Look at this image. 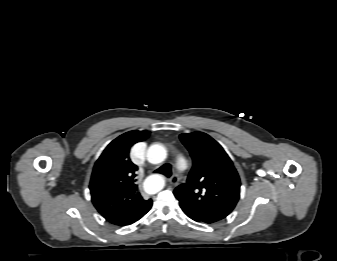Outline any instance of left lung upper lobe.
<instances>
[{
  "mask_svg": "<svg viewBox=\"0 0 337 261\" xmlns=\"http://www.w3.org/2000/svg\"><path fill=\"white\" fill-rule=\"evenodd\" d=\"M193 167L186 184L174 190L180 207L205 223L224 219L239 199L240 179L221 145L203 132L181 134Z\"/></svg>",
  "mask_w": 337,
  "mask_h": 261,
  "instance_id": "left-lung-upper-lobe-1",
  "label": "left lung upper lobe"
}]
</instances>
